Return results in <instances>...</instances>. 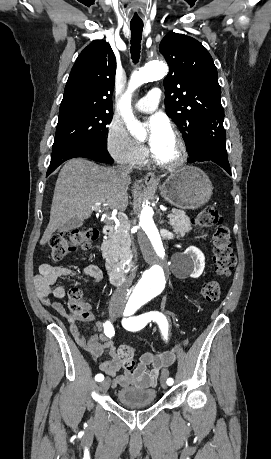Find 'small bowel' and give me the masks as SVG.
<instances>
[{
  "instance_id": "obj_1",
  "label": "small bowel",
  "mask_w": 271,
  "mask_h": 459,
  "mask_svg": "<svg viewBox=\"0 0 271 459\" xmlns=\"http://www.w3.org/2000/svg\"><path fill=\"white\" fill-rule=\"evenodd\" d=\"M82 274L91 277L94 284L99 283L102 279V272L96 265L86 266L82 270ZM73 275H75V271L70 267L43 264L39 274L34 279L37 296L43 304L64 318L67 317V313L63 305L59 302L50 301L49 297L64 298L66 289L55 284L59 279ZM87 309L89 311L88 316L81 319L93 322V333L89 337H85L81 334L78 326L73 323L69 324V331L77 344L93 356L106 355L108 357L107 360L100 363L99 369L109 378L111 385L113 387H125L132 384L143 388L156 386L160 371L175 361V351L170 350L160 354L144 353L136 367L128 370L120 361L114 342L105 335L102 323L96 320L89 306Z\"/></svg>"
}]
</instances>
